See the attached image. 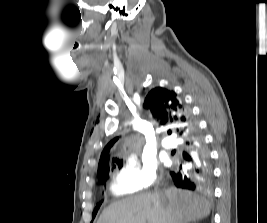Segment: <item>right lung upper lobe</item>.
I'll list each match as a JSON object with an SVG mask.
<instances>
[{
    "instance_id": "1",
    "label": "right lung upper lobe",
    "mask_w": 267,
    "mask_h": 223,
    "mask_svg": "<svg viewBox=\"0 0 267 223\" xmlns=\"http://www.w3.org/2000/svg\"><path fill=\"white\" fill-rule=\"evenodd\" d=\"M144 107L149 109L157 123L160 125H168L173 128L177 134L186 139L192 132L195 124H197L191 115L189 109L177 97L174 91L156 87L152 89L145 98ZM118 138L113 139L103 150L98 165V177L103 176L109 169L107 160L111 146ZM113 163L120 166L117 159H112Z\"/></svg>"
}]
</instances>
